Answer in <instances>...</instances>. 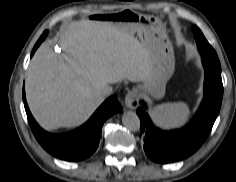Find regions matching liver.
I'll return each instance as SVG.
<instances>
[{
	"label": "liver",
	"instance_id": "obj_1",
	"mask_svg": "<svg viewBox=\"0 0 236 182\" xmlns=\"http://www.w3.org/2000/svg\"><path fill=\"white\" fill-rule=\"evenodd\" d=\"M43 43L26 74L29 108L46 129L84 123L104 101L101 89L123 79L145 81L151 71V50L127 29L108 21L83 20L62 27L65 54Z\"/></svg>",
	"mask_w": 236,
	"mask_h": 182
}]
</instances>
